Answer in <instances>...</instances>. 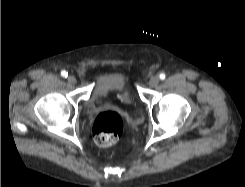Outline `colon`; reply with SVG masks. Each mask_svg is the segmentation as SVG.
<instances>
[{
    "label": "colon",
    "mask_w": 245,
    "mask_h": 187,
    "mask_svg": "<svg viewBox=\"0 0 245 187\" xmlns=\"http://www.w3.org/2000/svg\"><path fill=\"white\" fill-rule=\"evenodd\" d=\"M92 131L94 140L99 146H112L123 132L122 119L115 112H102L96 116Z\"/></svg>",
    "instance_id": "5ec220e1"
}]
</instances>
